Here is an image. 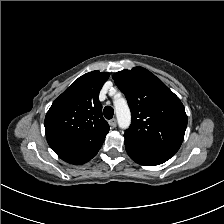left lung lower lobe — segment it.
Masks as SVG:
<instances>
[{
  "label": "left lung lower lobe",
  "instance_id": "obj_1",
  "mask_svg": "<svg viewBox=\"0 0 224 224\" xmlns=\"http://www.w3.org/2000/svg\"><path fill=\"white\" fill-rule=\"evenodd\" d=\"M124 137L128 155L141 165L154 166L162 164L176 153L160 146L139 142L128 136Z\"/></svg>",
  "mask_w": 224,
  "mask_h": 224
}]
</instances>
